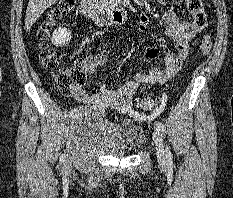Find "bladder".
<instances>
[{
    "instance_id": "bladder-1",
    "label": "bladder",
    "mask_w": 233,
    "mask_h": 198,
    "mask_svg": "<svg viewBox=\"0 0 233 198\" xmlns=\"http://www.w3.org/2000/svg\"><path fill=\"white\" fill-rule=\"evenodd\" d=\"M72 129L78 145L117 157L136 151L144 141L140 126L112 123L98 109H80L72 121Z\"/></svg>"
}]
</instances>
